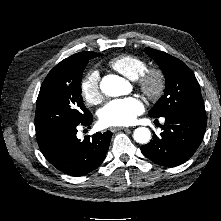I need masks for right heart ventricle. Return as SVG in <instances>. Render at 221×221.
Instances as JSON below:
<instances>
[{
    "label": "right heart ventricle",
    "mask_w": 221,
    "mask_h": 221,
    "mask_svg": "<svg viewBox=\"0 0 221 221\" xmlns=\"http://www.w3.org/2000/svg\"><path fill=\"white\" fill-rule=\"evenodd\" d=\"M108 65L111 69L130 80H137L148 67L147 62L143 58L129 54L112 58Z\"/></svg>",
    "instance_id": "right-heart-ventricle-1"
}]
</instances>
